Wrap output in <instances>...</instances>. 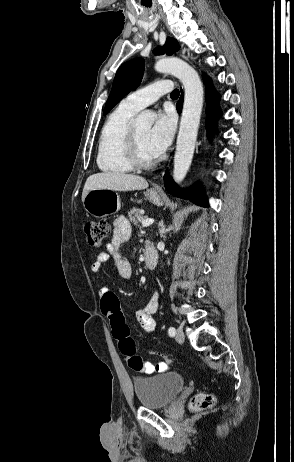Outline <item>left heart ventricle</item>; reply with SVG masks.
<instances>
[{"label":"left heart ventricle","instance_id":"left-heart-ventricle-1","mask_svg":"<svg viewBox=\"0 0 294 462\" xmlns=\"http://www.w3.org/2000/svg\"><path fill=\"white\" fill-rule=\"evenodd\" d=\"M149 131V127H134L140 153L145 159H151L155 156L148 146Z\"/></svg>","mask_w":294,"mask_h":462}]
</instances>
